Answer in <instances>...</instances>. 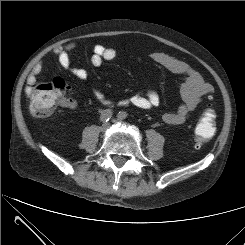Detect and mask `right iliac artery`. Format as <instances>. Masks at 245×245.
Listing matches in <instances>:
<instances>
[{"label":"right iliac artery","instance_id":"1","mask_svg":"<svg viewBox=\"0 0 245 245\" xmlns=\"http://www.w3.org/2000/svg\"><path fill=\"white\" fill-rule=\"evenodd\" d=\"M112 115H113V112L110 109H106L102 111L100 115V120L102 122H108L111 119Z\"/></svg>","mask_w":245,"mask_h":245}]
</instances>
